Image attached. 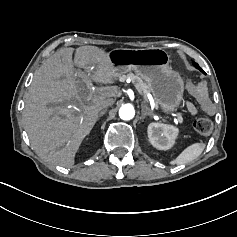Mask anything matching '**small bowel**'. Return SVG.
<instances>
[{"instance_id":"obj_1","label":"small bowel","mask_w":237,"mask_h":237,"mask_svg":"<svg viewBox=\"0 0 237 237\" xmlns=\"http://www.w3.org/2000/svg\"><path fill=\"white\" fill-rule=\"evenodd\" d=\"M200 87L204 88L206 90V85L205 83H200L199 84ZM186 108L187 110L189 111V113H191L192 115L196 114L197 110H196V107L192 104V103H187L186 104Z\"/></svg>"}]
</instances>
